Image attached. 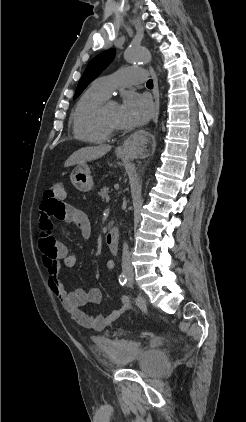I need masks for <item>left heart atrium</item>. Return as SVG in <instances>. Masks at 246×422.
Masks as SVG:
<instances>
[{
	"label": "left heart atrium",
	"instance_id": "39dd6f15",
	"mask_svg": "<svg viewBox=\"0 0 246 422\" xmlns=\"http://www.w3.org/2000/svg\"><path fill=\"white\" fill-rule=\"evenodd\" d=\"M153 106L149 99L135 92H128L119 108V126L132 129L143 125L152 115Z\"/></svg>",
	"mask_w": 246,
	"mask_h": 422
}]
</instances>
